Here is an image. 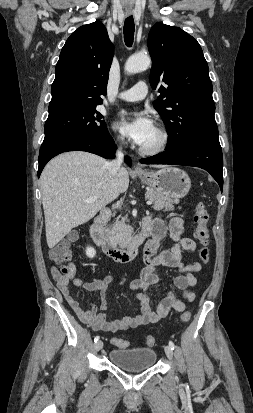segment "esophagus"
<instances>
[{
    "label": "esophagus",
    "instance_id": "esophagus-1",
    "mask_svg": "<svg viewBox=\"0 0 253 413\" xmlns=\"http://www.w3.org/2000/svg\"><path fill=\"white\" fill-rule=\"evenodd\" d=\"M134 171H135L136 173H139V172L142 171V169H141L140 167L136 166V167L134 168Z\"/></svg>",
    "mask_w": 253,
    "mask_h": 413
}]
</instances>
